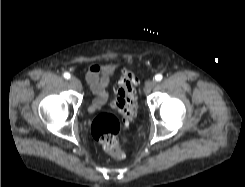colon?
Listing matches in <instances>:
<instances>
[{"mask_svg": "<svg viewBox=\"0 0 245 187\" xmlns=\"http://www.w3.org/2000/svg\"><path fill=\"white\" fill-rule=\"evenodd\" d=\"M137 84L138 78L133 72L123 71L116 87L113 101V107L118 110L122 118L110 113H101L94 119L91 126L94 138L108 153L117 159L124 157L118 138L136 113L137 97L135 87Z\"/></svg>", "mask_w": 245, "mask_h": 187, "instance_id": "colon-1", "label": "colon"}]
</instances>
